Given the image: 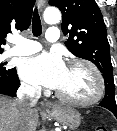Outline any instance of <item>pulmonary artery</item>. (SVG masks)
Wrapping results in <instances>:
<instances>
[{"label":"pulmonary artery","mask_w":117,"mask_h":131,"mask_svg":"<svg viewBox=\"0 0 117 131\" xmlns=\"http://www.w3.org/2000/svg\"><path fill=\"white\" fill-rule=\"evenodd\" d=\"M46 39L49 42H56L59 39V30L56 27H50L46 32ZM14 46L10 50V54L16 56L31 55L41 50V45L33 40L23 37L13 39Z\"/></svg>","instance_id":"pulmonary-artery-1"}]
</instances>
